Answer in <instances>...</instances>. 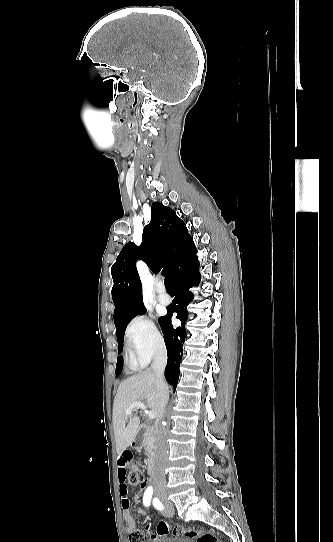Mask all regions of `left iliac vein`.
Instances as JSON below:
<instances>
[{
  "label": "left iliac vein",
  "instance_id": "1",
  "mask_svg": "<svg viewBox=\"0 0 333 542\" xmlns=\"http://www.w3.org/2000/svg\"><path fill=\"white\" fill-rule=\"evenodd\" d=\"M164 503L166 504V509L162 512L166 517H172L174 515V508L172 504L168 501L167 498H163Z\"/></svg>",
  "mask_w": 333,
  "mask_h": 542
}]
</instances>
